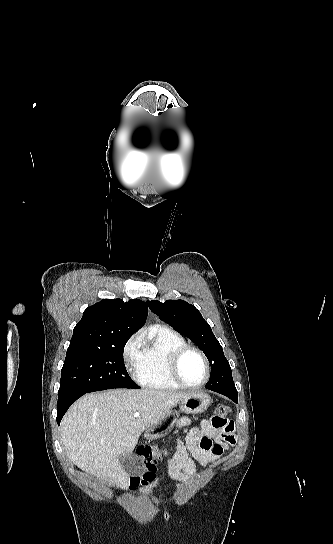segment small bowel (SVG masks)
<instances>
[{
  "instance_id": "obj_1",
  "label": "small bowel",
  "mask_w": 333,
  "mask_h": 544,
  "mask_svg": "<svg viewBox=\"0 0 333 544\" xmlns=\"http://www.w3.org/2000/svg\"><path fill=\"white\" fill-rule=\"evenodd\" d=\"M190 424L188 418H183L179 426ZM235 426L224 417L214 416L204 419L201 428L185 430L184 439H178L172 457L168 461V476L179 482L186 483L197 474L194 460L202 465H209L219 459L223 452L235 444ZM154 480L146 492L157 486Z\"/></svg>"
}]
</instances>
